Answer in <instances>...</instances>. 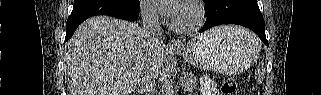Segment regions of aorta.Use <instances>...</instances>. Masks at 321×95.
<instances>
[{
	"mask_svg": "<svg viewBox=\"0 0 321 95\" xmlns=\"http://www.w3.org/2000/svg\"><path fill=\"white\" fill-rule=\"evenodd\" d=\"M161 95H174L172 80H165L161 87Z\"/></svg>",
	"mask_w": 321,
	"mask_h": 95,
	"instance_id": "1",
	"label": "aorta"
}]
</instances>
